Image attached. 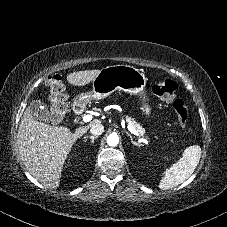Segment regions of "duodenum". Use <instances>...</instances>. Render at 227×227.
<instances>
[{
    "label": "duodenum",
    "mask_w": 227,
    "mask_h": 227,
    "mask_svg": "<svg viewBox=\"0 0 227 227\" xmlns=\"http://www.w3.org/2000/svg\"><path fill=\"white\" fill-rule=\"evenodd\" d=\"M73 109L76 113H81L82 112V106L80 104H74Z\"/></svg>",
    "instance_id": "duodenum-1"
}]
</instances>
